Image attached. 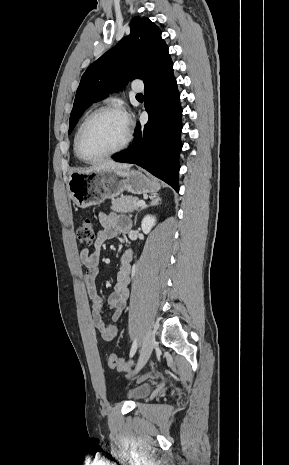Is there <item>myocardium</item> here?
<instances>
[{
	"label": "myocardium",
	"mask_w": 289,
	"mask_h": 465,
	"mask_svg": "<svg viewBox=\"0 0 289 465\" xmlns=\"http://www.w3.org/2000/svg\"><path fill=\"white\" fill-rule=\"evenodd\" d=\"M101 113H114V114L122 115L123 117L125 116L124 112L120 108H118L116 106H112V105L100 106V107L96 108L90 114H88L86 116V118L83 120V122L81 123V125L79 127L77 138H76V152H77V155L82 161H84L86 163H95V162H98V161H100V160H102L104 158L113 156V155L123 151L124 149H126L128 147V145L130 144L131 140H132V131H131L130 123L128 121L127 122L126 137H125L124 141L121 143V145H119L117 148H115L113 150H110V151H108V152H106V153H104V154H102L100 156L87 157L83 153V149H82V142H83L84 133H85V130H86V127H87L88 123L96 115L101 114Z\"/></svg>",
	"instance_id": "f54148a6"
}]
</instances>
